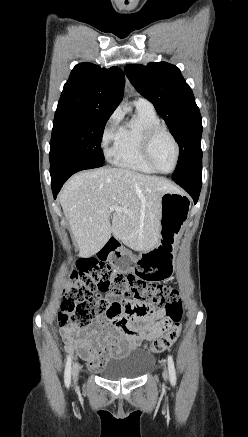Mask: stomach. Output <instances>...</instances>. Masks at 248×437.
Wrapping results in <instances>:
<instances>
[{"instance_id":"0dacf381","label":"stomach","mask_w":248,"mask_h":437,"mask_svg":"<svg viewBox=\"0 0 248 437\" xmlns=\"http://www.w3.org/2000/svg\"><path fill=\"white\" fill-rule=\"evenodd\" d=\"M189 206V199L182 192H165L161 196L158 244L147 252H140L139 257L120 249L114 255V272L135 273L136 279H146L147 286H161L162 279H169Z\"/></svg>"}]
</instances>
